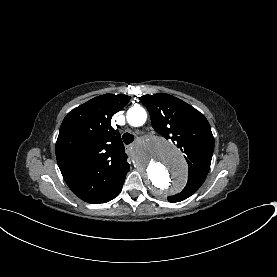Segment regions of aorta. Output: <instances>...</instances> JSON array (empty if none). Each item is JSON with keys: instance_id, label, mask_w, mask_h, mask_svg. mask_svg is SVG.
<instances>
[{"instance_id": "1", "label": "aorta", "mask_w": 277, "mask_h": 277, "mask_svg": "<svg viewBox=\"0 0 277 277\" xmlns=\"http://www.w3.org/2000/svg\"><path fill=\"white\" fill-rule=\"evenodd\" d=\"M147 113L141 106L131 107L127 111L130 125L142 126ZM136 168L146 185L157 197L182 189L187 179V166L182 153L172 143L157 136L142 137L133 152Z\"/></svg>"}]
</instances>
